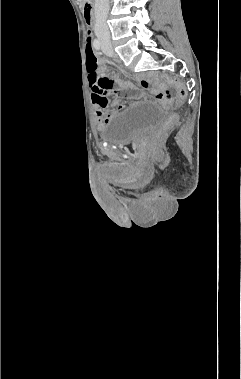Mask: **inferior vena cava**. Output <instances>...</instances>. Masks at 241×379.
Wrapping results in <instances>:
<instances>
[{
  "label": "inferior vena cava",
  "mask_w": 241,
  "mask_h": 379,
  "mask_svg": "<svg viewBox=\"0 0 241 379\" xmlns=\"http://www.w3.org/2000/svg\"><path fill=\"white\" fill-rule=\"evenodd\" d=\"M109 13V0H95V32L97 37L110 40V32L107 26Z\"/></svg>",
  "instance_id": "obj_1"
}]
</instances>
